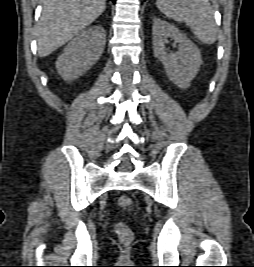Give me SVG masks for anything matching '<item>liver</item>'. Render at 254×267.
I'll use <instances>...</instances> for the list:
<instances>
[{
  "mask_svg": "<svg viewBox=\"0 0 254 267\" xmlns=\"http://www.w3.org/2000/svg\"><path fill=\"white\" fill-rule=\"evenodd\" d=\"M36 28L38 55L46 57L94 22L105 10V0H42Z\"/></svg>",
  "mask_w": 254,
  "mask_h": 267,
  "instance_id": "obj_1",
  "label": "liver"
}]
</instances>
